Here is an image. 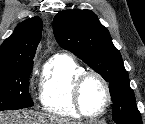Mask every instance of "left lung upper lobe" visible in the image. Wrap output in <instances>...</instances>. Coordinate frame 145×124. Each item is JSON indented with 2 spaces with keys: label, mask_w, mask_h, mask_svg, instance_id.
<instances>
[{
  "label": "left lung upper lobe",
  "mask_w": 145,
  "mask_h": 124,
  "mask_svg": "<svg viewBox=\"0 0 145 124\" xmlns=\"http://www.w3.org/2000/svg\"><path fill=\"white\" fill-rule=\"evenodd\" d=\"M53 31L62 48L73 52L109 82L115 123L142 124L121 54L97 16L90 10L60 11L54 17Z\"/></svg>",
  "instance_id": "5c2ea615"
}]
</instances>
